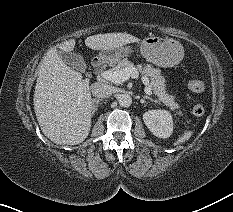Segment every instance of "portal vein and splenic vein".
I'll use <instances>...</instances> for the list:
<instances>
[{"label": "portal vein and splenic vein", "instance_id": "obj_1", "mask_svg": "<svg viewBox=\"0 0 233 212\" xmlns=\"http://www.w3.org/2000/svg\"><path fill=\"white\" fill-rule=\"evenodd\" d=\"M100 76L103 79L111 81L115 84H121L122 82L127 81L129 78L138 79L139 73L136 68L131 67V68H125L122 70L110 69V70L102 71L100 73ZM141 81L146 85L145 93L148 95H151L152 91H151L150 86L148 85V78L145 76H142Z\"/></svg>", "mask_w": 233, "mask_h": 212}]
</instances>
